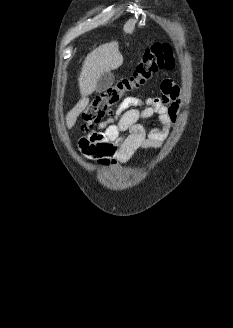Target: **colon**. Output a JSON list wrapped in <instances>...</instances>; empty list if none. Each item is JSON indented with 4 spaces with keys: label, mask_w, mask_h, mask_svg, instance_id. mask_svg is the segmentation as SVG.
Listing matches in <instances>:
<instances>
[{
    "label": "colon",
    "mask_w": 233,
    "mask_h": 328,
    "mask_svg": "<svg viewBox=\"0 0 233 328\" xmlns=\"http://www.w3.org/2000/svg\"><path fill=\"white\" fill-rule=\"evenodd\" d=\"M175 67L172 47L166 43H156L144 49L133 73L120 79L115 85L97 95L83 113L84 129L90 130L111 113L114 105L122 97L144 86L160 70Z\"/></svg>",
    "instance_id": "obj_1"
}]
</instances>
